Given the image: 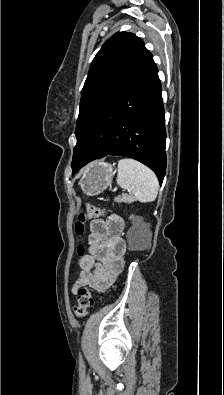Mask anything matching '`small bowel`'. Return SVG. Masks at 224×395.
I'll return each mask as SVG.
<instances>
[{"mask_svg": "<svg viewBox=\"0 0 224 395\" xmlns=\"http://www.w3.org/2000/svg\"><path fill=\"white\" fill-rule=\"evenodd\" d=\"M124 222L117 215L90 223L88 254L79 262L80 273L73 286L76 292L83 286L104 291L116 280L124 267L126 242L121 235Z\"/></svg>", "mask_w": 224, "mask_h": 395, "instance_id": "small-bowel-1", "label": "small bowel"}]
</instances>
